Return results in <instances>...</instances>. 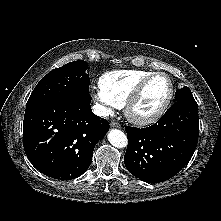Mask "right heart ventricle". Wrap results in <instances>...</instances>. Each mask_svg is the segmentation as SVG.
I'll use <instances>...</instances> for the list:
<instances>
[{"label": "right heart ventricle", "mask_w": 221, "mask_h": 221, "mask_svg": "<svg viewBox=\"0 0 221 221\" xmlns=\"http://www.w3.org/2000/svg\"><path fill=\"white\" fill-rule=\"evenodd\" d=\"M151 73L152 71L150 70L141 69L109 71L99 78V87L112 98L119 107H122L139 81Z\"/></svg>", "instance_id": "obj_1"}]
</instances>
